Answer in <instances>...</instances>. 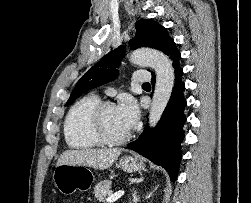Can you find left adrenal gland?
Instances as JSON below:
<instances>
[{
	"label": "left adrenal gland",
	"instance_id": "1",
	"mask_svg": "<svg viewBox=\"0 0 251 203\" xmlns=\"http://www.w3.org/2000/svg\"><path fill=\"white\" fill-rule=\"evenodd\" d=\"M151 194H152V192L150 193V195H151ZM150 195H149V196H150ZM133 197H134V198H133V202H134V203H137V202L140 200V198H138V197L136 196V192H134ZM146 198H148V196H146Z\"/></svg>",
	"mask_w": 251,
	"mask_h": 203
}]
</instances>
